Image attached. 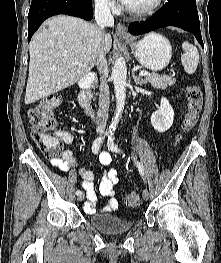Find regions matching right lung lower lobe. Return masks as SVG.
<instances>
[{
  "instance_id": "obj_1",
  "label": "right lung lower lobe",
  "mask_w": 221,
  "mask_h": 263,
  "mask_svg": "<svg viewBox=\"0 0 221 263\" xmlns=\"http://www.w3.org/2000/svg\"><path fill=\"white\" fill-rule=\"evenodd\" d=\"M57 14L91 20L92 0H32L28 13V42L44 20Z\"/></svg>"
}]
</instances>
